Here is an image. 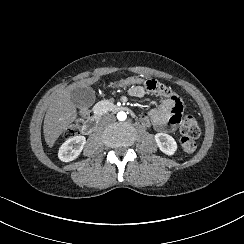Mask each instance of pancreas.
<instances>
[{
    "label": "pancreas",
    "instance_id": "obj_1",
    "mask_svg": "<svg viewBox=\"0 0 244 244\" xmlns=\"http://www.w3.org/2000/svg\"><path fill=\"white\" fill-rule=\"evenodd\" d=\"M99 103L102 105L103 108H107V109H109L112 105V102L110 100H104Z\"/></svg>",
    "mask_w": 244,
    "mask_h": 244
}]
</instances>
